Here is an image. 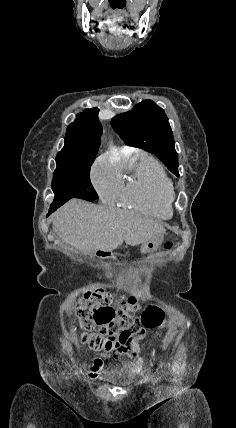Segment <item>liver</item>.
Returning a JSON list of instances; mask_svg holds the SVG:
<instances>
[{"instance_id":"6515ba94","label":"liver","mask_w":236,"mask_h":428,"mask_svg":"<svg viewBox=\"0 0 236 428\" xmlns=\"http://www.w3.org/2000/svg\"><path fill=\"white\" fill-rule=\"evenodd\" d=\"M57 236L85 254L111 252L121 246H139L166 232L143 214L116 212L107 206H94L84 200H70L52 216Z\"/></svg>"}]
</instances>
